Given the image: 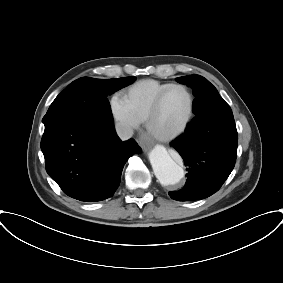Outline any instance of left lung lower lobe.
Masks as SVG:
<instances>
[{
    "mask_svg": "<svg viewBox=\"0 0 283 283\" xmlns=\"http://www.w3.org/2000/svg\"><path fill=\"white\" fill-rule=\"evenodd\" d=\"M229 105L222 97L213 99L209 107L197 108L186 131L171 145L178 151L187 167V181L180 191L170 192L178 201L204 199L222 186L235 166L237 142L211 138L227 127ZM219 127V129H217Z\"/></svg>",
    "mask_w": 283,
    "mask_h": 283,
    "instance_id": "0a47b994",
    "label": "left lung lower lobe"
}]
</instances>
